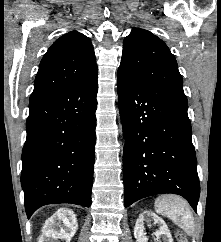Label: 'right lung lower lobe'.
I'll return each instance as SVG.
<instances>
[{
    "label": "right lung lower lobe",
    "mask_w": 221,
    "mask_h": 242,
    "mask_svg": "<svg viewBox=\"0 0 221 242\" xmlns=\"http://www.w3.org/2000/svg\"><path fill=\"white\" fill-rule=\"evenodd\" d=\"M97 73L74 88L30 100L21 185L28 218L41 206L91 205Z\"/></svg>",
    "instance_id": "right-lung-lower-lobe-1"
}]
</instances>
